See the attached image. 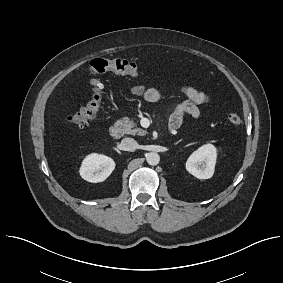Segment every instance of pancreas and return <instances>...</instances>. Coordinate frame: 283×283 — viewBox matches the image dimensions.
Here are the masks:
<instances>
[{"mask_svg": "<svg viewBox=\"0 0 283 283\" xmlns=\"http://www.w3.org/2000/svg\"><path fill=\"white\" fill-rule=\"evenodd\" d=\"M119 123L123 134L144 136L147 133L145 130L137 128V124L128 117L120 119Z\"/></svg>", "mask_w": 283, "mask_h": 283, "instance_id": "obj_1", "label": "pancreas"}]
</instances>
